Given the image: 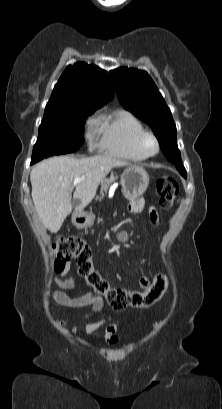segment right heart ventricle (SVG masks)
Returning a JSON list of instances; mask_svg holds the SVG:
<instances>
[{"label":"right heart ventricle","instance_id":"1","mask_svg":"<svg viewBox=\"0 0 222 409\" xmlns=\"http://www.w3.org/2000/svg\"><path fill=\"white\" fill-rule=\"evenodd\" d=\"M143 131L142 122L132 112L116 109L101 116L98 145L104 153L115 158L143 161L146 157L137 147V139Z\"/></svg>","mask_w":222,"mask_h":409}]
</instances>
